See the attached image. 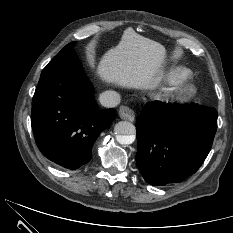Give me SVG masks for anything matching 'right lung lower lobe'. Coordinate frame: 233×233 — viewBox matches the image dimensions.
I'll list each match as a JSON object with an SVG mask.
<instances>
[{
	"instance_id": "1",
	"label": "right lung lower lobe",
	"mask_w": 233,
	"mask_h": 233,
	"mask_svg": "<svg viewBox=\"0 0 233 233\" xmlns=\"http://www.w3.org/2000/svg\"><path fill=\"white\" fill-rule=\"evenodd\" d=\"M75 51L60 52L43 69L32 101L36 144L52 162L77 169L91 159L99 134L115 119L100 110Z\"/></svg>"
}]
</instances>
